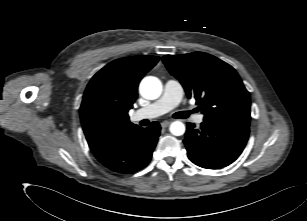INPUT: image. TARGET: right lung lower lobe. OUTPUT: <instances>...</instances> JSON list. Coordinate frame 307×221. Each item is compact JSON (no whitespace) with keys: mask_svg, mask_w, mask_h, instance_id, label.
<instances>
[{"mask_svg":"<svg viewBox=\"0 0 307 221\" xmlns=\"http://www.w3.org/2000/svg\"><path fill=\"white\" fill-rule=\"evenodd\" d=\"M159 135L157 122L146 129L137 126L95 157L111 171L122 174L137 172L150 161Z\"/></svg>","mask_w":307,"mask_h":221,"instance_id":"obj_1","label":"right lung lower lobe"}]
</instances>
